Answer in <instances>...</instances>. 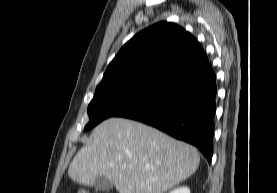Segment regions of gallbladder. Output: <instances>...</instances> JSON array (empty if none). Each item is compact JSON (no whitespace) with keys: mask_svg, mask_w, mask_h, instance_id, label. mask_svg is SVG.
I'll use <instances>...</instances> for the list:
<instances>
[{"mask_svg":"<svg viewBox=\"0 0 277 193\" xmlns=\"http://www.w3.org/2000/svg\"><path fill=\"white\" fill-rule=\"evenodd\" d=\"M94 186L97 190L106 192L113 188V183L110 182L106 177L100 176L95 180Z\"/></svg>","mask_w":277,"mask_h":193,"instance_id":"obj_1","label":"gallbladder"}]
</instances>
